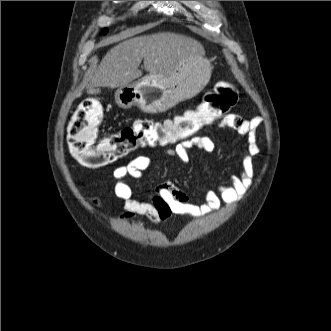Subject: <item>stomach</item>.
<instances>
[{"mask_svg": "<svg viewBox=\"0 0 331 331\" xmlns=\"http://www.w3.org/2000/svg\"><path fill=\"white\" fill-rule=\"evenodd\" d=\"M211 72L210 61L196 55L167 76L148 74L119 88L115 99L124 109L136 106L145 113H162L196 96L209 82Z\"/></svg>", "mask_w": 331, "mask_h": 331, "instance_id": "stomach-1", "label": "stomach"}]
</instances>
